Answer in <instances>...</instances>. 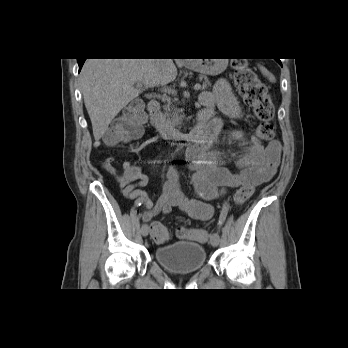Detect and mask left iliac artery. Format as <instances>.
Segmentation results:
<instances>
[{"mask_svg":"<svg viewBox=\"0 0 348 348\" xmlns=\"http://www.w3.org/2000/svg\"><path fill=\"white\" fill-rule=\"evenodd\" d=\"M230 213H231L230 205L225 204L224 208L222 209L221 215L219 216L218 224H223V221L225 220L227 215H229Z\"/></svg>","mask_w":348,"mask_h":348,"instance_id":"left-iliac-artery-1","label":"left iliac artery"}]
</instances>
